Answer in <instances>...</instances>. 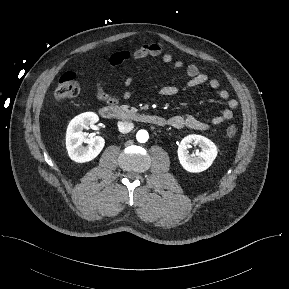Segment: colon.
Here are the masks:
<instances>
[{"label":"colon","instance_id":"1","mask_svg":"<svg viewBox=\"0 0 289 289\" xmlns=\"http://www.w3.org/2000/svg\"><path fill=\"white\" fill-rule=\"evenodd\" d=\"M80 91L81 87L75 73L72 71H66L60 76L54 91V95L57 99H69L76 97ZM236 133L237 128L234 125L227 127L226 135L229 138H233Z\"/></svg>","mask_w":289,"mask_h":289}]
</instances>
